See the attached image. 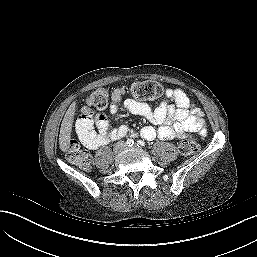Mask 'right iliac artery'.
I'll list each match as a JSON object with an SVG mask.
<instances>
[{"label":"right iliac artery","mask_w":257,"mask_h":257,"mask_svg":"<svg viewBox=\"0 0 257 257\" xmlns=\"http://www.w3.org/2000/svg\"><path fill=\"white\" fill-rule=\"evenodd\" d=\"M126 144H127L128 146H132V145L134 144V141H133L132 139H128V140L126 141Z\"/></svg>","instance_id":"1"}]
</instances>
